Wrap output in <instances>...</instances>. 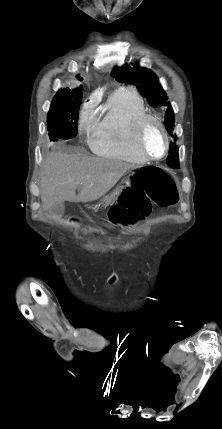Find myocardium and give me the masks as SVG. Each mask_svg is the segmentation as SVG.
<instances>
[{"mask_svg": "<svg viewBox=\"0 0 222 429\" xmlns=\"http://www.w3.org/2000/svg\"><path fill=\"white\" fill-rule=\"evenodd\" d=\"M149 122H153L159 127V129L162 132L164 139H165V150L160 157L151 156L143 146V133H144L146 125ZM134 141H135V145H136L137 150L148 161L162 160L168 154L169 149H170L169 134H168L166 128L164 127L163 123L161 122V120L157 116L152 115V114H148V113L142 114L136 120L135 131H134Z\"/></svg>", "mask_w": 222, "mask_h": 429, "instance_id": "1", "label": "myocardium"}]
</instances>
